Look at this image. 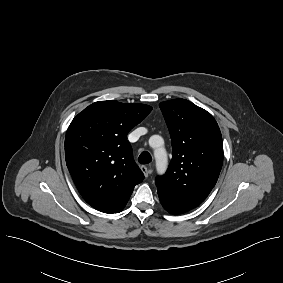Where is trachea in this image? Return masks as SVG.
<instances>
[{
  "label": "trachea",
  "instance_id": "3493384b",
  "mask_svg": "<svg viewBox=\"0 0 283 283\" xmlns=\"http://www.w3.org/2000/svg\"><path fill=\"white\" fill-rule=\"evenodd\" d=\"M138 161L141 164H148L152 161V157L148 152H142L138 157Z\"/></svg>",
  "mask_w": 283,
  "mask_h": 283
}]
</instances>
